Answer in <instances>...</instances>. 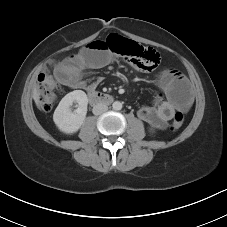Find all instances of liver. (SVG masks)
Returning <instances> with one entry per match:
<instances>
[{
  "label": "liver",
  "mask_w": 227,
  "mask_h": 227,
  "mask_svg": "<svg viewBox=\"0 0 227 227\" xmlns=\"http://www.w3.org/2000/svg\"><path fill=\"white\" fill-rule=\"evenodd\" d=\"M33 99H34L36 105H37V106H40V93H39L37 87H35V88L33 89Z\"/></svg>",
  "instance_id": "liver-1"
}]
</instances>
